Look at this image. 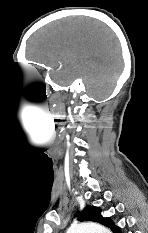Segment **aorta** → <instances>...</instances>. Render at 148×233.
I'll return each mask as SVG.
<instances>
[{
	"label": "aorta",
	"mask_w": 148,
	"mask_h": 233,
	"mask_svg": "<svg viewBox=\"0 0 148 233\" xmlns=\"http://www.w3.org/2000/svg\"><path fill=\"white\" fill-rule=\"evenodd\" d=\"M66 233H111L106 227L92 222L72 225Z\"/></svg>",
	"instance_id": "1"
}]
</instances>
